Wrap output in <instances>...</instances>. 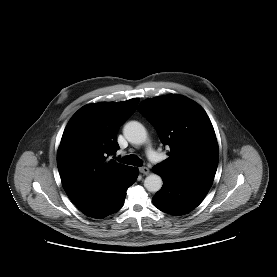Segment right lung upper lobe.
Instances as JSON below:
<instances>
[{
  "instance_id": "right-lung-upper-lobe-1",
  "label": "right lung upper lobe",
  "mask_w": 277,
  "mask_h": 277,
  "mask_svg": "<svg viewBox=\"0 0 277 277\" xmlns=\"http://www.w3.org/2000/svg\"><path fill=\"white\" fill-rule=\"evenodd\" d=\"M139 99L101 102L79 109L69 120L57 153L62 185L74 204L85 202L128 166L108 160L119 148L117 132L131 116Z\"/></svg>"
}]
</instances>
